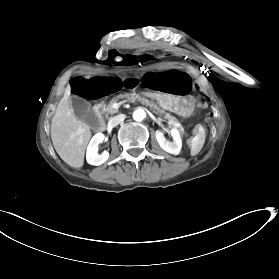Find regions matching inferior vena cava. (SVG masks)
I'll return each mask as SVG.
<instances>
[{
  "instance_id": "602c4592",
  "label": "inferior vena cava",
  "mask_w": 279,
  "mask_h": 279,
  "mask_svg": "<svg viewBox=\"0 0 279 279\" xmlns=\"http://www.w3.org/2000/svg\"><path fill=\"white\" fill-rule=\"evenodd\" d=\"M124 119H125V115L124 114H121V115L113 117L108 122V128H110L111 126L113 128V127L117 126L119 123H121V122L123 123Z\"/></svg>"
}]
</instances>
